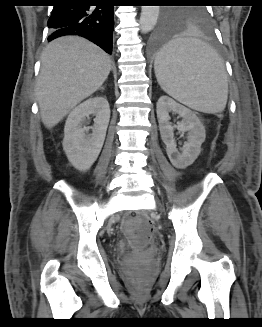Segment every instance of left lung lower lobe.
Instances as JSON below:
<instances>
[{"instance_id": "0a47b994", "label": "left lung lower lobe", "mask_w": 262, "mask_h": 327, "mask_svg": "<svg viewBox=\"0 0 262 327\" xmlns=\"http://www.w3.org/2000/svg\"><path fill=\"white\" fill-rule=\"evenodd\" d=\"M171 39V28L161 24L155 29L148 41L149 51L152 53L160 52L165 46H167Z\"/></svg>"}]
</instances>
